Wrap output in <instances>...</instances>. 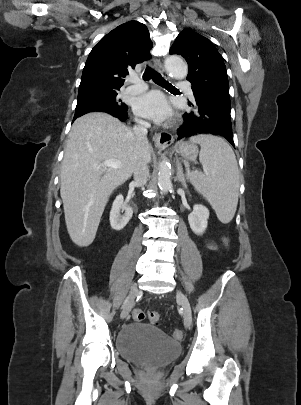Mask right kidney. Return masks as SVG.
Here are the masks:
<instances>
[{"label": "right kidney", "instance_id": "ca27d5eb", "mask_svg": "<svg viewBox=\"0 0 301 405\" xmlns=\"http://www.w3.org/2000/svg\"><path fill=\"white\" fill-rule=\"evenodd\" d=\"M121 211L124 214H121ZM133 215V210L125 202L121 194H119L113 204L110 211V225L112 229L119 231L123 229L129 222Z\"/></svg>", "mask_w": 301, "mask_h": 405}]
</instances>
